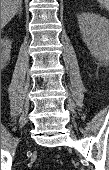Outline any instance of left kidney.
I'll list each match as a JSON object with an SVG mask.
<instances>
[{
    "label": "left kidney",
    "mask_w": 109,
    "mask_h": 170,
    "mask_svg": "<svg viewBox=\"0 0 109 170\" xmlns=\"http://www.w3.org/2000/svg\"><path fill=\"white\" fill-rule=\"evenodd\" d=\"M78 24L91 54L98 61H107L109 57V21L92 12L78 15Z\"/></svg>",
    "instance_id": "1"
}]
</instances>
